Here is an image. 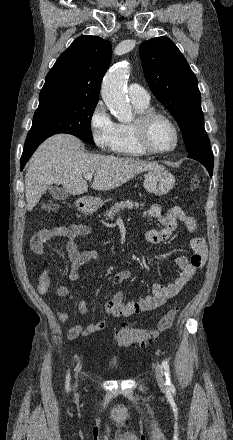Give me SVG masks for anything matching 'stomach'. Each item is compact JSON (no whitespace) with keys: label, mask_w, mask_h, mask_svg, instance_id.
Wrapping results in <instances>:
<instances>
[{"label":"stomach","mask_w":233,"mask_h":440,"mask_svg":"<svg viewBox=\"0 0 233 440\" xmlns=\"http://www.w3.org/2000/svg\"><path fill=\"white\" fill-rule=\"evenodd\" d=\"M175 185V177L164 167L160 166L150 170L144 177L143 186L147 192L162 196L166 195ZM85 208L88 210L97 209L102 205V201L98 198L85 197Z\"/></svg>","instance_id":"0dacf381"}]
</instances>
